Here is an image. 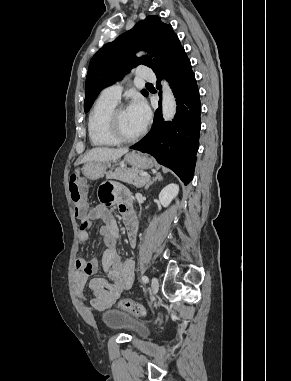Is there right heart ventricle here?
I'll return each instance as SVG.
<instances>
[{"label":"right heart ventricle","instance_id":"1","mask_svg":"<svg viewBox=\"0 0 291 381\" xmlns=\"http://www.w3.org/2000/svg\"><path fill=\"white\" fill-rule=\"evenodd\" d=\"M118 101L100 96L92 106L88 116V135L94 147H112L116 142L107 132L106 121L110 111Z\"/></svg>","mask_w":291,"mask_h":381}]
</instances>
